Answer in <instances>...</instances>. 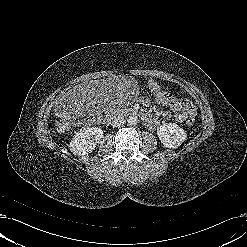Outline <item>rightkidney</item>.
Returning <instances> with one entry per match:
<instances>
[{
	"label": "right kidney",
	"instance_id": "right-kidney-1",
	"mask_svg": "<svg viewBox=\"0 0 247 247\" xmlns=\"http://www.w3.org/2000/svg\"><path fill=\"white\" fill-rule=\"evenodd\" d=\"M102 138V129L98 127L83 128L73 136L69 145L70 151L79 156L91 153Z\"/></svg>",
	"mask_w": 247,
	"mask_h": 247
}]
</instances>
